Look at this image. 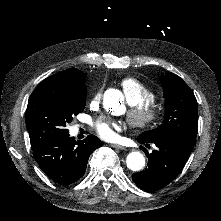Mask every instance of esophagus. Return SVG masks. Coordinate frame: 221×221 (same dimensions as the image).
Listing matches in <instances>:
<instances>
[{"mask_svg": "<svg viewBox=\"0 0 221 221\" xmlns=\"http://www.w3.org/2000/svg\"><path fill=\"white\" fill-rule=\"evenodd\" d=\"M110 147H113V148H117V149H121V150H124L125 147L122 146V145H119V144H109Z\"/></svg>", "mask_w": 221, "mask_h": 221, "instance_id": "esophagus-1", "label": "esophagus"}]
</instances>
